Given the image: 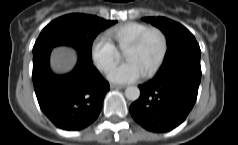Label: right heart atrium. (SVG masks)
<instances>
[{"instance_id": "1", "label": "right heart atrium", "mask_w": 238, "mask_h": 145, "mask_svg": "<svg viewBox=\"0 0 238 145\" xmlns=\"http://www.w3.org/2000/svg\"><path fill=\"white\" fill-rule=\"evenodd\" d=\"M90 55L94 65L101 72H107L118 60V51L104 35H97L90 45Z\"/></svg>"}]
</instances>
